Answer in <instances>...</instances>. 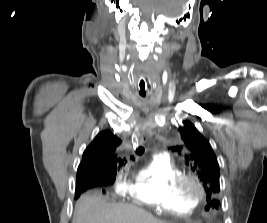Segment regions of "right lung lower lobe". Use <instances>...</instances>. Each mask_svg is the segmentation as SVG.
<instances>
[{
    "instance_id": "right-lung-lower-lobe-1",
    "label": "right lung lower lobe",
    "mask_w": 267,
    "mask_h": 223,
    "mask_svg": "<svg viewBox=\"0 0 267 223\" xmlns=\"http://www.w3.org/2000/svg\"><path fill=\"white\" fill-rule=\"evenodd\" d=\"M109 183L111 182L105 180L102 176H83L81 178H77L76 192L77 195H80V193L89 188L105 186Z\"/></svg>"
}]
</instances>
